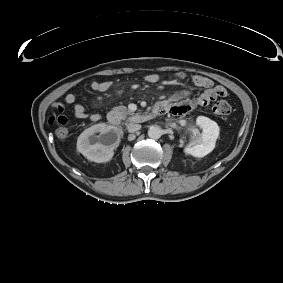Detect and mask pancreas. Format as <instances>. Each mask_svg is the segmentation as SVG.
<instances>
[{
    "mask_svg": "<svg viewBox=\"0 0 283 283\" xmlns=\"http://www.w3.org/2000/svg\"><path fill=\"white\" fill-rule=\"evenodd\" d=\"M112 112L117 115L119 118L125 120L128 116V122H141L142 116L139 113H134L127 109L125 106L114 107Z\"/></svg>",
    "mask_w": 283,
    "mask_h": 283,
    "instance_id": "obj_1",
    "label": "pancreas"
}]
</instances>
